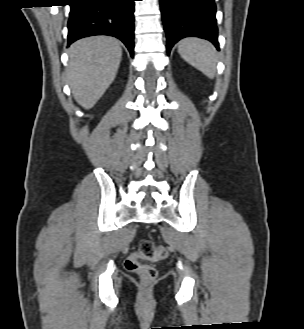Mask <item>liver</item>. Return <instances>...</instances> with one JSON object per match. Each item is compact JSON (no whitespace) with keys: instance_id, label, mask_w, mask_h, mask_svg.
I'll use <instances>...</instances> for the list:
<instances>
[{"instance_id":"6515ba94","label":"liver","mask_w":304,"mask_h":329,"mask_svg":"<svg viewBox=\"0 0 304 329\" xmlns=\"http://www.w3.org/2000/svg\"><path fill=\"white\" fill-rule=\"evenodd\" d=\"M68 53L72 94L78 104L90 109L115 79L122 58L120 42L106 36L88 37L72 44Z\"/></svg>"}]
</instances>
